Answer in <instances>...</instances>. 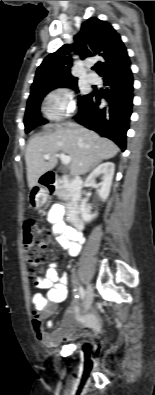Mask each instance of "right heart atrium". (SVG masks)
<instances>
[{
	"mask_svg": "<svg viewBox=\"0 0 155 395\" xmlns=\"http://www.w3.org/2000/svg\"><path fill=\"white\" fill-rule=\"evenodd\" d=\"M74 109L73 92L67 87H59L53 90L46 98L44 111L51 120H62L70 116Z\"/></svg>",
	"mask_w": 155,
	"mask_h": 395,
	"instance_id": "right-heart-atrium-1",
	"label": "right heart atrium"
}]
</instances>
